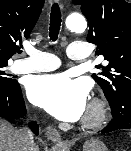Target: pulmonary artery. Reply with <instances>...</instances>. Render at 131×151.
Segmentation results:
<instances>
[{
  "label": "pulmonary artery",
  "mask_w": 131,
  "mask_h": 151,
  "mask_svg": "<svg viewBox=\"0 0 131 151\" xmlns=\"http://www.w3.org/2000/svg\"><path fill=\"white\" fill-rule=\"evenodd\" d=\"M28 58L18 60L12 66L15 73H35L55 70L60 66V60L54 54L37 49H28ZM67 55L76 61H85L90 56L88 44L85 42H72L68 46Z\"/></svg>",
  "instance_id": "e3ab8cb5"
}]
</instances>
